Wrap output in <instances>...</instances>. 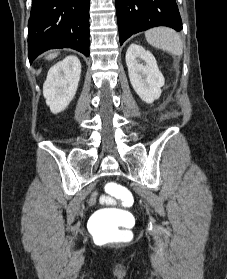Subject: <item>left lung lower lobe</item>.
I'll return each mask as SVG.
<instances>
[{"label":"left lung lower lobe","instance_id":"1","mask_svg":"<svg viewBox=\"0 0 227 279\" xmlns=\"http://www.w3.org/2000/svg\"><path fill=\"white\" fill-rule=\"evenodd\" d=\"M120 45L131 35L157 26L182 29L175 0H115Z\"/></svg>","mask_w":227,"mask_h":279}]
</instances>
